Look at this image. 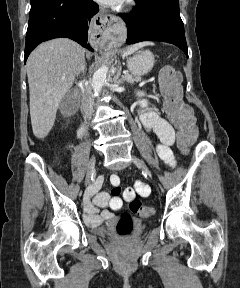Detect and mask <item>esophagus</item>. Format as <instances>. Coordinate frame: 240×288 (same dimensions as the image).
<instances>
[{"label": "esophagus", "instance_id": "1", "mask_svg": "<svg viewBox=\"0 0 240 288\" xmlns=\"http://www.w3.org/2000/svg\"><path fill=\"white\" fill-rule=\"evenodd\" d=\"M118 24L119 20L116 17L100 8L99 13L94 17L95 34L99 36L97 43L100 46L112 45L111 39Z\"/></svg>", "mask_w": 240, "mask_h": 288}]
</instances>
